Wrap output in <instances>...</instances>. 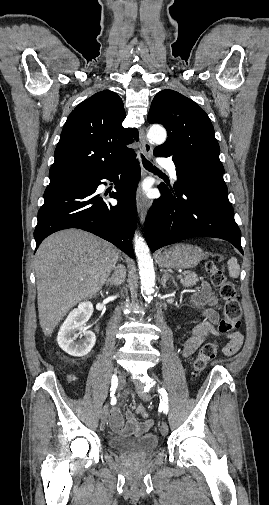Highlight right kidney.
Listing matches in <instances>:
<instances>
[{
    "label": "right kidney",
    "mask_w": 269,
    "mask_h": 505,
    "mask_svg": "<svg viewBox=\"0 0 269 505\" xmlns=\"http://www.w3.org/2000/svg\"><path fill=\"white\" fill-rule=\"evenodd\" d=\"M93 313L91 302H82L78 308L74 309L58 332L57 342L59 346L69 355L83 357L87 355L96 342V336L92 331L84 328L85 323ZM83 337L82 341H76L78 336Z\"/></svg>",
    "instance_id": "obj_1"
}]
</instances>
